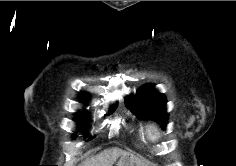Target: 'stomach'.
Instances as JSON below:
<instances>
[{
    "mask_svg": "<svg viewBox=\"0 0 236 166\" xmlns=\"http://www.w3.org/2000/svg\"><path fill=\"white\" fill-rule=\"evenodd\" d=\"M117 166H137L136 163L133 162L132 156H126L120 158V160L117 163Z\"/></svg>",
    "mask_w": 236,
    "mask_h": 166,
    "instance_id": "0dacf381",
    "label": "stomach"
}]
</instances>
